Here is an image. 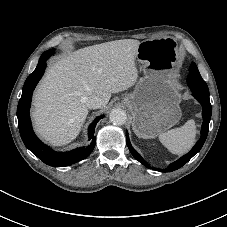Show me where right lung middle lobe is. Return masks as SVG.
<instances>
[{"instance_id":"dd1d6c3e","label":"right lung middle lobe","mask_w":227,"mask_h":227,"mask_svg":"<svg viewBox=\"0 0 227 227\" xmlns=\"http://www.w3.org/2000/svg\"><path fill=\"white\" fill-rule=\"evenodd\" d=\"M54 51H55V49H51L49 51L44 52L43 54H46L49 57L51 54H54Z\"/></svg>"}]
</instances>
